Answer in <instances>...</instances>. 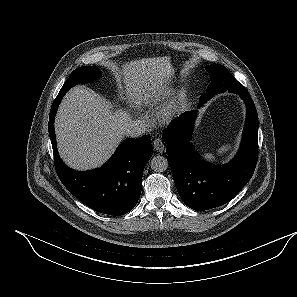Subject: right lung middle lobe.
<instances>
[{
  "mask_svg": "<svg viewBox=\"0 0 297 297\" xmlns=\"http://www.w3.org/2000/svg\"><path fill=\"white\" fill-rule=\"evenodd\" d=\"M101 77L100 70L95 66H82L75 69L62 86L60 92H67L71 87L80 82H90Z\"/></svg>",
  "mask_w": 297,
  "mask_h": 297,
  "instance_id": "1",
  "label": "right lung middle lobe"
}]
</instances>
